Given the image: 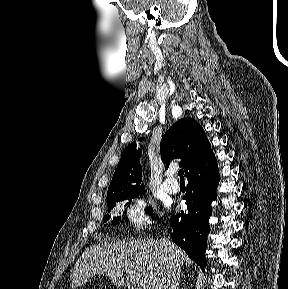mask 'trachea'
Listing matches in <instances>:
<instances>
[{
	"mask_svg": "<svg viewBox=\"0 0 288 289\" xmlns=\"http://www.w3.org/2000/svg\"><path fill=\"white\" fill-rule=\"evenodd\" d=\"M178 176L180 177V180H181V181L184 180V171H183V169H180V170L178 171Z\"/></svg>",
	"mask_w": 288,
	"mask_h": 289,
	"instance_id": "3493384b",
	"label": "trachea"
}]
</instances>
